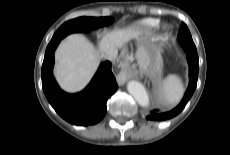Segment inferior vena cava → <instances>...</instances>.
<instances>
[{"label":"inferior vena cava","instance_id":"obj_1","mask_svg":"<svg viewBox=\"0 0 230 155\" xmlns=\"http://www.w3.org/2000/svg\"><path fill=\"white\" fill-rule=\"evenodd\" d=\"M117 54H118V50L114 48L109 50L104 56L106 59L113 61L117 57Z\"/></svg>","mask_w":230,"mask_h":155}]
</instances>
